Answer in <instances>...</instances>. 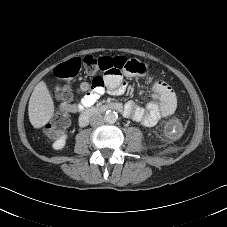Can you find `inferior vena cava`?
<instances>
[{"mask_svg": "<svg viewBox=\"0 0 227 227\" xmlns=\"http://www.w3.org/2000/svg\"><path fill=\"white\" fill-rule=\"evenodd\" d=\"M103 121V116L100 114H95L90 118V124L94 127L102 125Z\"/></svg>", "mask_w": 227, "mask_h": 227, "instance_id": "1", "label": "inferior vena cava"}]
</instances>
